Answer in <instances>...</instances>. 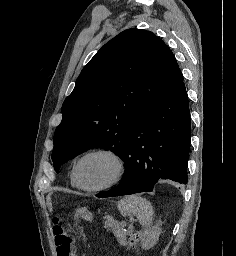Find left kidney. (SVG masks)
I'll return each instance as SVG.
<instances>
[{
	"label": "left kidney",
	"mask_w": 236,
	"mask_h": 256,
	"mask_svg": "<svg viewBox=\"0 0 236 256\" xmlns=\"http://www.w3.org/2000/svg\"><path fill=\"white\" fill-rule=\"evenodd\" d=\"M159 224H161V222H158L157 226L147 228L144 234H141L142 248H144V250H150V248H153V246L157 244L159 236L161 234Z\"/></svg>",
	"instance_id": "obj_1"
}]
</instances>
